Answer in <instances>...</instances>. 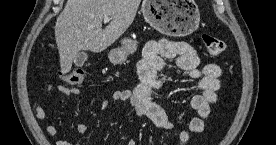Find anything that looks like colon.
I'll use <instances>...</instances> for the list:
<instances>
[{"label": "colon", "instance_id": "5ec220e1", "mask_svg": "<svg viewBox=\"0 0 276 145\" xmlns=\"http://www.w3.org/2000/svg\"><path fill=\"white\" fill-rule=\"evenodd\" d=\"M202 41L210 55L217 56L225 50V43L212 34L204 33L202 35ZM85 77L86 72L82 68H75L63 75L65 81L71 85L82 84Z\"/></svg>", "mask_w": 276, "mask_h": 145}]
</instances>
